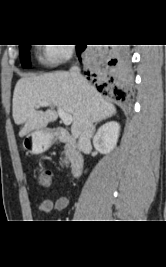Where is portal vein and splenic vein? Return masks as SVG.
Wrapping results in <instances>:
<instances>
[{
	"label": "portal vein and splenic vein",
	"instance_id": "portal-vein-and-splenic-vein-1",
	"mask_svg": "<svg viewBox=\"0 0 166 267\" xmlns=\"http://www.w3.org/2000/svg\"><path fill=\"white\" fill-rule=\"evenodd\" d=\"M50 104L48 102H40L38 103L37 107H45L49 106ZM57 112L61 120L63 121L64 125L68 126L72 123V115L64 112L61 108H57Z\"/></svg>",
	"mask_w": 166,
	"mask_h": 267
}]
</instances>
